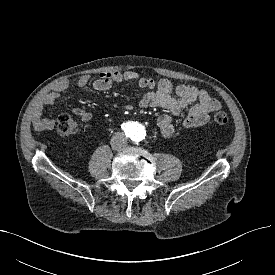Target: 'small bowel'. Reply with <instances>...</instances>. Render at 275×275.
Segmentation results:
<instances>
[{
	"label": "small bowel",
	"mask_w": 275,
	"mask_h": 275,
	"mask_svg": "<svg viewBox=\"0 0 275 275\" xmlns=\"http://www.w3.org/2000/svg\"><path fill=\"white\" fill-rule=\"evenodd\" d=\"M135 82L140 87L148 89V92L140 101L142 108L159 107L165 109L168 113L158 118V126L165 138H170L175 131L173 117L178 116L183 111L188 110L186 118L182 122L184 129H193L205 125L210 118L212 112L221 108V103L212 97L206 90L199 89L189 84H179L173 86L168 79H161L158 82L150 77L140 75L134 71L124 72H105L92 83V88L96 91H105L114 84L121 82ZM89 83L86 75H80L76 84L79 87H85ZM68 88V82L62 80L57 82L53 89L48 92L42 104L37 108L33 117V126L38 131L52 130L55 126V119L49 118L44 113L45 107H50ZM172 92L177 96L172 97ZM82 121L88 122L92 118V114L83 109H74Z\"/></svg>",
	"instance_id": "small-bowel-1"
}]
</instances>
